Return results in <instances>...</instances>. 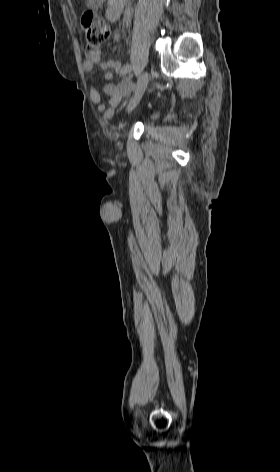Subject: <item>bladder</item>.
Segmentation results:
<instances>
[{
	"label": "bladder",
	"instance_id": "1",
	"mask_svg": "<svg viewBox=\"0 0 280 472\" xmlns=\"http://www.w3.org/2000/svg\"><path fill=\"white\" fill-rule=\"evenodd\" d=\"M160 116V110L158 108H151L146 110L141 116L140 120L143 123H151L156 121Z\"/></svg>",
	"mask_w": 280,
	"mask_h": 472
}]
</instances>
